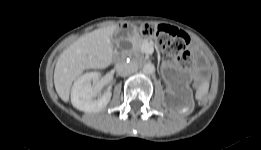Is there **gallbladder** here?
<instances>
[{
	"instance_id": "gallbladder-1",
	"label": "gallbladder",
	"mask_w": 261,
	"mask_h": 150,
	"mask_svg": "<svg viewBox=\"0 0 261 150\" xmlns=\"http://www.w3.org/2000/svg\"><path fill=\"white\" fill-rule=\"evenodd\" d=\"M119 35H115L113 38H112V42H115L117 40Z\"/></svg>"
}]
</instances>
